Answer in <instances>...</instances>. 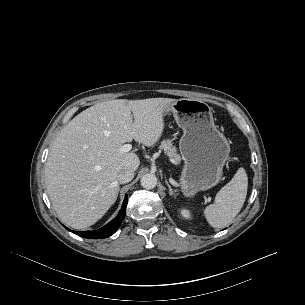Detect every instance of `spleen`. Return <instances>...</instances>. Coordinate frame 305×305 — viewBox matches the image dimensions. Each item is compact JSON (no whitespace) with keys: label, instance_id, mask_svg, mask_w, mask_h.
I'll use <instances>...</instances> for the list:
<instances>
[{"label":"spleen","instance_id":"1","mask_svg":"<svg viewBox=\"0 0 305 305\" xmlns=\"http://www.w3.org/2000/svg\"><path fill=\"white\" fill-rule=\"evenodd\" d=\"M247 188V174L244 168H239L231 181L216 194L214 203L205 208L208 223L214 228H222L231 223L243 207Z\"/></svg>","mask_w":305,"mask_h":305}]
</instances>
